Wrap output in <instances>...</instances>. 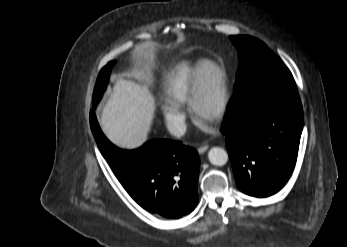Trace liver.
Segmentation results:
<instances>
[{"instance_id": "1", "label": "liver", "mask_w": 347, "mask_h": 247, "mask_svg": "<svg viewBox=\"0 0 347 247\" xmlns=\"http://www.w3.org/2000/svg\"><path fill=\"white\" fill-rule=\"evenodd\" d=\"M155 109V97L146 83L119 78L103 108L100 125L114 145L134 150L147 142Z\"/></svg>"}]
</instances>
